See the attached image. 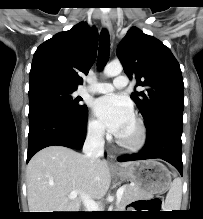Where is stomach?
<instances>
[{
  "instance_id": "0dacf381",
  "label": "stomach",
  "mask_w": 203,
  "mask_h": 219,
  "mask_svg": "<svg viewBox=\"0 0 203 219\" xmlns=\"http://www.w3.org/2000/svg\"><path fill=\"white\" fill-rule=\"evenodd\" d=\"M114 173L135 183L147 197L166 191L171 185V173L156 160L132 162L129 166L115 170Z\"/></svg>"
}]
</instances>
